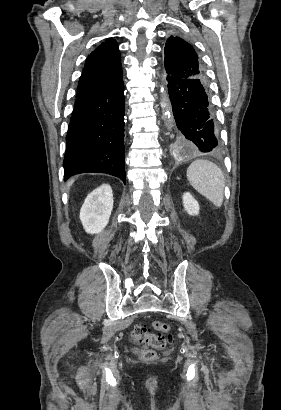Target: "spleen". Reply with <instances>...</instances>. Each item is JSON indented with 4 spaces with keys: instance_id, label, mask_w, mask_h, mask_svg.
Here are the masks:
<instances>
[{
    "instance_id": "obj_1",
    "label": "spleen",
    "mask_w": 281,
    "mask_h": 410,
    "mask_svg": "<svg viewBox=\"0 0 281 410\" xmlns=\"http://www.w3.org/2000/svg\"><path fill=\"white\" fill-rule=\"evenodd\" d=\"M190 184L215 206L221 207L224 199L225 178L222 170L214 163L198 159L187 169Z\"/></svg>"
}]
</instances>
